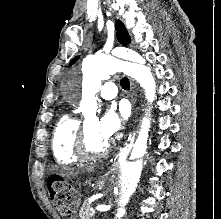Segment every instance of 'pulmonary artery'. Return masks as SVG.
<instances>
[{
    "instance_id": "e3ab8cb5",
    "label": "pulmonary artery",
    "mask_w": 221,
    "mask_h": 219,
    "mask_svg": "<svg viewBox=\"0 0 221 219\" xmlns=\"http://www.w3.org/2000/svg\"><path fill=\"white\" fill-rule=\"evenodd\" d=\"M100 96L106 100L114 99L117 96V87L114 83L106 82L99 91Z\"/></svg>"
}]
</instances>
